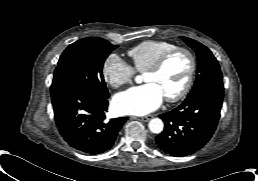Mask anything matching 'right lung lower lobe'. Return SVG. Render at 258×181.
Returning a JSON list of instances; mask_svg holds the SVG:
<instances>
[{
  "mask_svg": "<svg viewBox=\"0 0 258 181\" xmlns=\"http://www.w3.org/2000/svg\"><path fill=\"white\" fill-rule=\"evenodd\" d=\"M55 121L73 148L96 155L109 150L127 117L105 121L108 100L98 99L64 83L51 86Z\"/></svg>",
  "mask_w": 258,
  "mask_h": 181,
  "instance_id": "obj_1",
  "label": "right lung lower lobe"
}]
</instances>
